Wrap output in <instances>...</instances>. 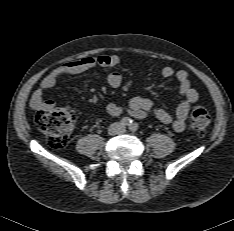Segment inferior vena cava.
Masks as SVG:
<instances>
[{
  "label": "inferior vena cava",
  "instance_id": "obj_1",
  "mask_svg": "<svg viewBox=\"0 0 234 231\" xmlns=\"http://www.w3.org/2000/svg\"><path fill=\"white\" fill-rule=\"evenodd\" d=\"M124 131V127L120 123H113L110 126L111 134H121Z\"/></svg>",
  "mask_w": 234,
  "mask_h": 231
}]
</instances>
